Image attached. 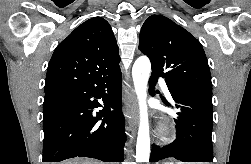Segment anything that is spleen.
<instances>
[{
    "mask_svg": "<svg viewBox=\"0 0 251 164\" xmlns=\"http://www.w3.org/2000/svg\"><path fill=\"white\" fill-rule=\"evenodd\" d=\"M165 164H174V163H172V162H169V163H165ZM177 164H184V163H177Z\"/></svg>",
    "mask_w": 251,
    "mask_h": 164,
    "instance_id": "1",
    "label": "spleen"
}]
</instances>
